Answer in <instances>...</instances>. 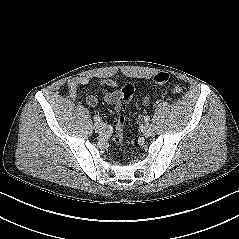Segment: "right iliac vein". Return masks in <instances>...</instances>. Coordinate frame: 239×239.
<instances>
[{
  "mask_svg": "<svg viewBox=\"0 0 239 239\" xmlns=\"http://www.w3.org/2000/svg\"><path fill=\"white\" fill-rule=\"evenodd\" d=\"M95 131L99 134L102 135L105 133L106 131V125L103 122H98L95 123Z\"/></svg>",
  "mask_w": 239,
  "mask_h": 239,
  "instance_id": "63e3f726",
  "label": "right iliac vein"
}]
</instances>
